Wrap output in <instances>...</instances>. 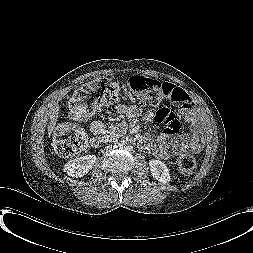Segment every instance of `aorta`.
I'll list each match as a JSON object with an SVG mask.
<instances>
[{"label": "aorta", "mask_w": 253, "mask_h": 253, "mask_svg": "<svg viewBox=\"0 0 253 253\" xmlns=\"http://www.w3.org/2000/svg\"><path fill=\"white\" fill-rule=\"evenodd\" d=\"M118 145L121 149H126L127 148V143L123 140L120 141Z\"/></svg>", "instance_id": "obj_1"}]
</instances>
